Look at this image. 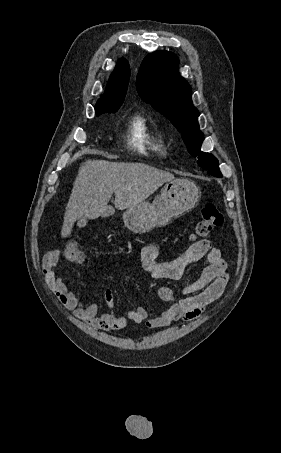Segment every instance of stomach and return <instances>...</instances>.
Listing matches in <instances>:
<instances>
[{
  "instance_id": "obj_1",
  "label": "stomach",
  "mask_w": 281,
  "mask_h": 453,
  "mask_svg": "<svg viewBox=\"0 0 281 453\" xmlns=\"http://www.w3.org/2000/svg\"><path fill=\"white\" fill-rule=\"evenodd\" d=\"M200 196V188L193 180H168L153 202L144 200L123 212L124 227L139 235L149 233L155 227H165L173 218L194 208Z\"/></svg>"
}]
</instances>
